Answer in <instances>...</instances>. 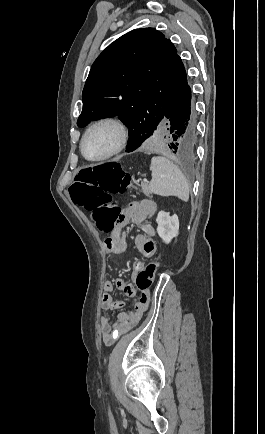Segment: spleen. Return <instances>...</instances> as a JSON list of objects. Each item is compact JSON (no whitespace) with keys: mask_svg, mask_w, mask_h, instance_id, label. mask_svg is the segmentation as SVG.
I'll return each instance as SVG.
<instances>
[{"mask_svg":"<svg viewBox=\"0 0 265 434\" xmlns=\"http://www.w3.org/2000/svg\"><path fill=\"white\" fill-rule=\"evenodd\" d=\"M152 180L149 188L157 196H177L183 202L189 200L187 180L181 170L164 156L152 158L150 164Z\"/></svg>","mask_w":265,"mask_h":434,"instance_id":"obj_1","label":"spleen"}]
</instances>
